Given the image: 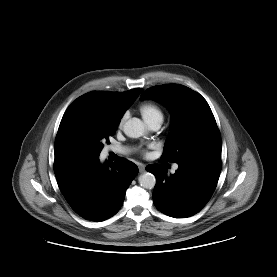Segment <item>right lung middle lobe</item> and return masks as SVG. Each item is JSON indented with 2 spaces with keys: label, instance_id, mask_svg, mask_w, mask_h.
Returning a JSON list of instances; mask_svg holds the SVG:
<instances>
[{
  "label": "right lung middle lobe",
  "instance_id": "obj_1",
  "mask_svg": "<svg viewBox=\"0 0 277 277\" xmlns=\"http://www.w3.org/2000/svg\"><path fill=\"white\" fill-rule=\"evenodd\" d=\"M64 117L74 145L87 157L99 156L103 143L109 142L119 124L92 109L82 97L68 107Z\"/></svg>",
  "mask_w": 277,
  "mask_h": 277
}]
</instances>
